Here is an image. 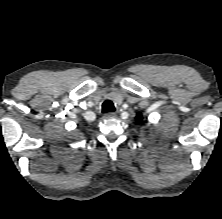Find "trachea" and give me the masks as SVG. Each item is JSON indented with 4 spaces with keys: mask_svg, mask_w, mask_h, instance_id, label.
I'll return each instance as SVG.
<instances>
[{
    "mask_svg": "<svg viewBox=\"0 0 222 219\" xmlns=\"http://www.w3.org/2000/svg\"><path fill=\"white\" fill-rule=\"evenodd\" d=\"M115 111V107L112 101L107 100L103 103L102 105V112L106 113V112H114Z\"/></svg>",
    "mask_w": 222,
    "mask_h": 219,
    "instance_id": "3493384b",
    "label": "trachea"
}]
</instances>
